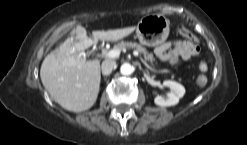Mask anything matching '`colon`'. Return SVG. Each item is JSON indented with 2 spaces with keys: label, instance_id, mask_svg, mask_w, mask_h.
I'll return each mask as SVG.
<instances>
[{
  "label": "colon",
  "instance_id": "1",
  "mask_svg": "<svg viewBox=\"0 0 247 145\" xmlns=\"http://www.w3.org/2000/svg\"><path fill=\"white\" fill-rule=\"evenodd\" d=\"M178 30H179V32L183 36H185V37H187L189 39H194L195 38V36L189 30L184 29L183 27H179ZM199 70L202 73L207 72V70H208V64H207V62H205V61L200 62V64H199ZM196 84L199 87H204L207 84V77L204 74L199 75L196 78Z\"/></svg>",
  "mask_w": 247,
  "mask_h": 145
}]
</instances>
